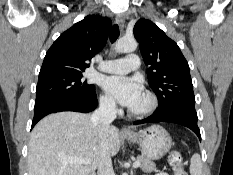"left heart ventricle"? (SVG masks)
Masks as SVG:
<instances>
[{
    "label": "left heart ventricle",
    "instance_id": "left-heart-ventricle-1",
    "mask_svg": "<svg viewBox=\"0 0 233 175\" xmlns=\"http://www.w3.org/2000/svg\"><path fill=\"white\" fill-rule=\"evenodd\" d=\"M143 104H144V98H142V100L140 101V103L136 107H134L133 109H139L140 107L143 106Z\"/></svg>",
    "mask_w": 233,
    "mask_h": 175
}]
</instances>
